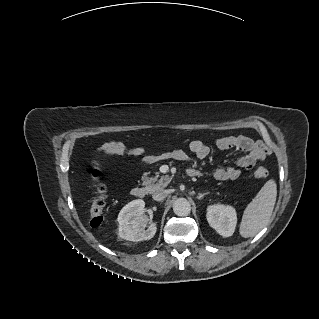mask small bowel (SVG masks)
<instances>
[{
	"mask_svg": "<svg viewBox=\"0 0 319 319\" xmlns=\"http://www.w3.org/2000/svg\"><path fill=\"white\" fill-rule=\"evenodd\" d=\"M216 145L220 149L234 148L245 153L239 157L235 166L220 167L214 170L213 175L218 181L236 180L241 175V170L253 169L256 163L264 160L267 155V150L261 142L243 135L220 138L216 141ZM189 149L200 160L206 159L210 154L209 146L201 140H193L189 144ZM99 151L106 156L129 155L139 157L147 162L157 160L156 156L146 153L140 146H132L118 141L103 145ZM163 155L177 161H186L188 159V155L183 149H174ZM189 171L198 172L196 169H190Z\"/></svg>",
	"mask_w": 319,
	"mask_h": 319,
	"instance_id": "obj_1",
	"label": "small bowel"
}]
</instances>
